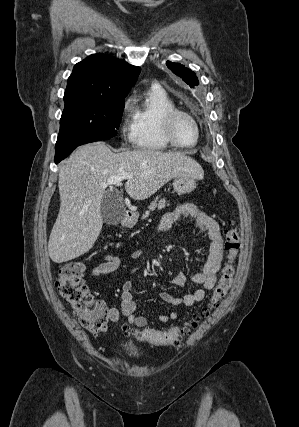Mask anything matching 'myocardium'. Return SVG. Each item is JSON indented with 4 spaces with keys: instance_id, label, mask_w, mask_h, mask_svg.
<instances>
[{
    "instance_id": "obj_1",
    "label": "myocardium",
    "mask_w": 299,
    "mask_h": 427,
    "mask_svg": "<svg viewBox=\"0 0 299 427\" xmlns=\"http://www.w3.org/2000/svg\"><path fill=\"white\" fill-rule=\"evenodd\" d=\"M180 116H184V117L189 118L190 120H192V122L195 125L196 139L191 144H181V143L177 142V140L174 136L173 125H174L175 120ZM162 131H163V134H164L166 140L171 144V146L181 148V149H187V148L194 147L198 143V141L200 139V135H201V128H200V124H199L198 120L189 112L184 111V110H180L177 108L170 110V111H167L166 113L163 114V116H162Z\"/></svg>"
}]
</instances>
